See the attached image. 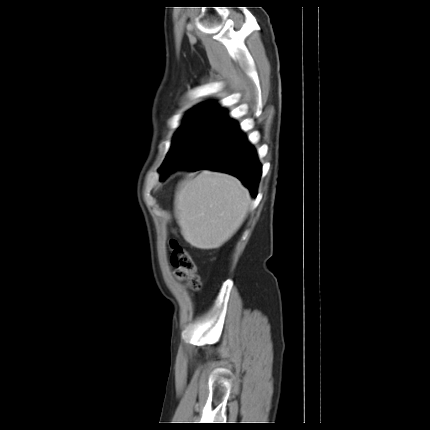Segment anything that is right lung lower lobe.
Wrapping results in <instances>:
<instances>
[{
	"mask_svg": "<svg viewBox=\"0 0 430 430\" xmlns=\"http://www.w3.org/2000/svg\"><path fill=\"white\" fill-rule=\"evenodd\" d=\"M179 169H211L229 173L241 180L253 196H256L261 176L256 151L237 126Z\"/></svg>",
	"mask_w": 430,
	"mask_h": 430,
	"instance_id": "98d812e1",
	"label": "right lung lower lobe"
}]
</instances>
